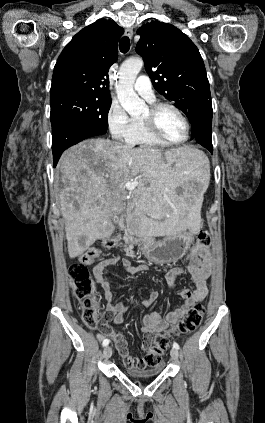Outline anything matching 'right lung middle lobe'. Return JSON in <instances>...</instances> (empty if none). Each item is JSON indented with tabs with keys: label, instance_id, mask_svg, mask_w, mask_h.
<instances>
[{
	"label": "right lung middle lobe",
	"instance_id": "obj_1",
	"mask_svg": "<svg viewBox=\"0 0 265 423\" xmlns=\"http://www.w3.org/2000/svg\"><path fill=\"white\" fill-rule=\"evenodd\" d=\"M52 127L62 121H78L106 133L111 98L63 94L50 98Z\"/></svg>",
	"mask_w": 265,
	"mask_h": 423
}]
</instances>
